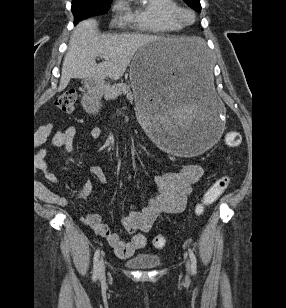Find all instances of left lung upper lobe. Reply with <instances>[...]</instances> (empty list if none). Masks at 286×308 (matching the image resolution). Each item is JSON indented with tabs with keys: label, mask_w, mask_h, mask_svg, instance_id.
Wrapping results in <instances>:
<instances>
[{
	"label": "left lung upper lobe",
	"mask_w": 286,
	"mask_h": 308,
	"mask_svg": "<svg viewBox=\"0 0 286 308\" xmlns=\"http://www.w3.org/2000/svg\"><path fill=\"white\" fill-rule=\"evenodd\" d=\"M191 8L194 10L200 12L201 11V5L199 0H184Z\"/></svg>",
	"instance_id": "1"
}]
</instances>
